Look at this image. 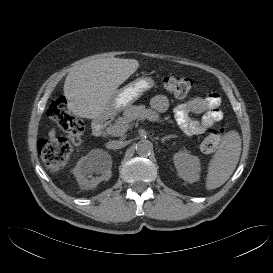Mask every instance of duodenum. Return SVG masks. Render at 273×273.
<instances>
[{
  "label": "duodenum",
  "instance_id": "1",
  "mask_svg": "<svg viewBox=\"0 0 273 273\" xmlns=\"http://www.w3.org/2000/svg\"><path fill=\"white\" fill-rule=\"evenodd\" d=\"M105 122L101 118H97L94 120L92 125V133L94 136L99 137L102 135L104 130Z\"/></svg>",
  "mask_w": 273,
  "mask_h": 273
}]
</instances>
